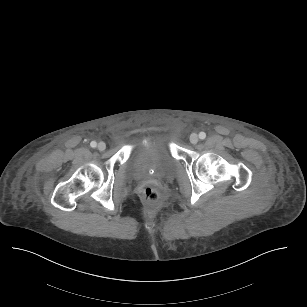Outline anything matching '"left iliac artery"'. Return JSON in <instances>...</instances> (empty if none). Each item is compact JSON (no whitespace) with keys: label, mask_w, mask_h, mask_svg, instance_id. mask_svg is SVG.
<instances>
[{"label":"left iliac artery","mask_w":307,"mask_h":307,"mask_svg":"<svg viewBox=\"0 0 307 307\" xmlns=\"http://www.w3.org/2000/svg\"><path fill=\"white\" fill-rule=\"evenodd\" d=\"M199 138L202 139V140L205 139L206 138V133L205 132H200L199 133Z\"/></svg>","instance_id":"obj_1"}]
</instances>
